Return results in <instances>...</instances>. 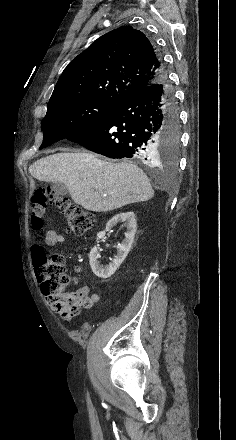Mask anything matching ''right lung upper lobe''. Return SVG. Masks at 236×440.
Instances as JSON below:
<instances>
[{
  "label": "right lung upper lobe",
  "instance_id": "obj_1",
  "mask_svg": "<svg viewBox=\"0 0 236 440\" xmlns=\"http://www.w3.org/2000/svg\"><path fill=\"white\" fill-rule=\"evenodd\" d=\"M161 75L149 39L122 26L99 37L68 64L49 103L91 98L121 104Z\"/></svg>",
  "mask_w": 236,
  "mask_h": 440
}]
</instances>
